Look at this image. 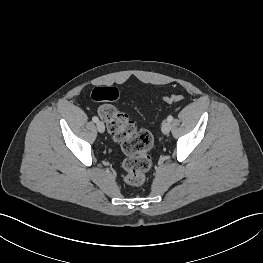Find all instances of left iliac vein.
<instances>
[{"mask_svg": "<svg viewBox=\"0 0 263 263\" xmlns=\"http://www.w3.org/2000/svg\"><path fill=\"white\" fill-rule=\"evenodd\" d=\"M161 130L164 134H168L171 130V124L169 121H164L161 126Z\"/></svg>", "mask_w": 263, "mask_h": 263, "instance_id": "4c4485c4", "label": "left iliac vein"}]
</instances>
